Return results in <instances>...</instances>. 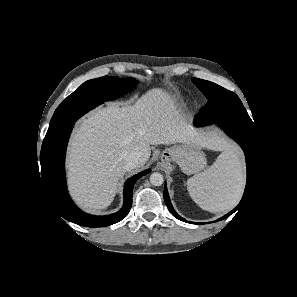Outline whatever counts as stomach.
Listing matches in <instances>:
<instances>
[{
  "mask_svg": "<svg viewBox=\"0 0 297 297\" xmlns=\"http://www.w3.org/2000/svg\"><path fill=\"white\" fill-rule=\"evenodd\" d=\"M161 157L166 162H174L181 170L190 175L205 169L207 160L199 146L192 144H177L163 151Z\"/></svg>",
  "mask_w": 297,
  "mask_h": 297,
  "instance_id": "stomach-1",
  "label": "stomach"
}]
</instances>
